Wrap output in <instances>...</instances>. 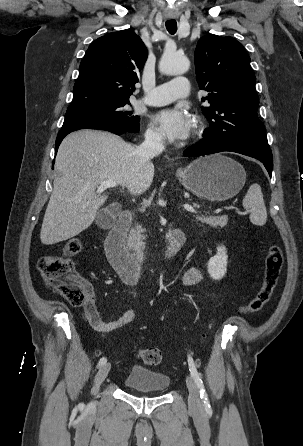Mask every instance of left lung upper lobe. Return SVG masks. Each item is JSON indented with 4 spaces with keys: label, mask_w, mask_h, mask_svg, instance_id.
Here are the masks:
<instances>
[{
    "label": "left lung upper lobe",
    "mask_w": 303,
    "mask_h": 446,
    "mask_svg": "<svg viewBox=\"0 0 303 446\" xmlns=\"http://www.w3.org/2000/svg\"><path fill=\"white\" fill-rule=\"evenodd\" d=\"M195 71L200 89L209 92L211 106L202 107L210 123L204 140L240 142L269 147L259 120V97L250 57L234 38L208 34L195 50Z\"/></svg>",
    "instance_id": "1"
}]
</instances>
